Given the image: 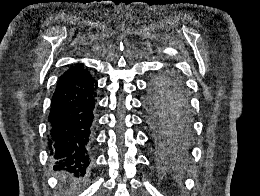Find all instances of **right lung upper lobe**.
I'll list each match as a JSON object with an SVG mask.
<instances>
[{"label":"right lung upper lobe","mask_w":260,"mask_h":196,"mask_svg":"<svg viewBox=\"0 0 260 196\" xmlns=\"http://www.w3.org/2000/svg\"><path fill=\"white\" fill-rule=\"evenodd\" d=\"M82 64H76L75 66L69 68V70H67L66 72H64L61 76H67V75H71L77 72H80L82 70H84Z\"/></svg>","instance_id":"obj_1"}]
</instances>
